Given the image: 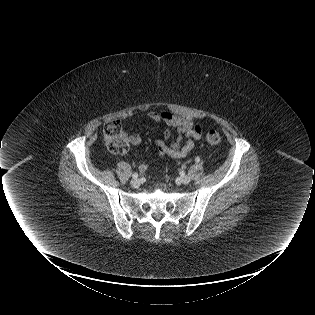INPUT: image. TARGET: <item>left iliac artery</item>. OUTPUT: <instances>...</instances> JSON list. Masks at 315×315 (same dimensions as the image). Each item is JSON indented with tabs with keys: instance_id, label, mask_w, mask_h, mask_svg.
<instances>
[{
	"instance_id": "1",
	"label": "left iliac artery",
	"mask_w": 315,
	"mask_h": 315,
	"mask_svg": "<svg viewBox=\"0 0 315 315\" xmlns=\"http://www.w3.org/2000/svg\"><path fill=\"white\" fill-rule=\"evenodd\" d=\"M195 161H196V162H199V161H200V158H199V157H196V158H195Z\"/></svg>"
}]
</instances>
